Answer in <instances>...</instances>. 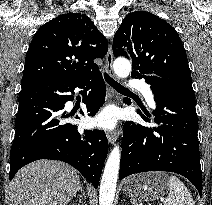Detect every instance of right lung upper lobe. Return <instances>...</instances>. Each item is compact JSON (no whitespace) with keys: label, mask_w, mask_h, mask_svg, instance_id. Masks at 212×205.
Segmentation results:
<instances>
[{"label":"right lung upper lobe","mask_w":212,"mask_h":205,"mask_svg":"<svg viewBox=\"0 0 212 205\" xmlns=\"http://www.w3.org/2000/svg\"><path fill=\"white\" fill-rule=\"evenodd\" d=\"M107 51L106 38L86 14L59 15L34 35L26 54L22 87L97 74L94 59L104 57Z\"/></svg>","instance_id":"right-lung-upper-lobe-1"}]
</instances>
